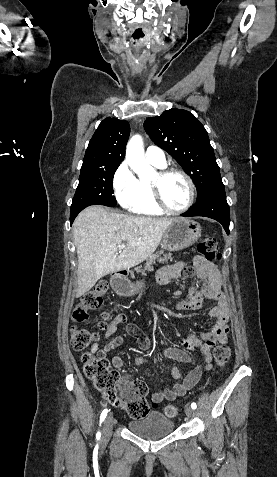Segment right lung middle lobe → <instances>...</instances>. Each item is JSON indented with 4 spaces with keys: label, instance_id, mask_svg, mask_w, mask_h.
Segmentation results:
<instances>
[{
    "label": "right lung middle lobe",
    "instance_id": "right-lung-middle-lobe-1",
    "mask_svg": "<svg viewBox=\"0 0 277 477\" xmlns=\"http://www.w3.org/2000/svg\"><path fill=\"white\" fill-rule=\"evenodd\" d=\"M118 166L105 169L81 171L79 185L73 198L70 210V222L87 206L100 204L115 206L113 196V177Z\"/></svg>",
    "mask_w": 277,
    "mask_h": 477
}]
</instances>
